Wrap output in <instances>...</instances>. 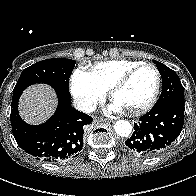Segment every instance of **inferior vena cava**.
Segmentation results:
<instances>
[{
	"instance_id": "inferior-vena-cava-1",
	"label": "inferior vena cava",
	"mask_w": 196,
	"mask_h": 196,
	"mask_svg": "<svg viewBox=\"0 0 196 196\" xmlns=\"http://www.w3.org/2000/svg\"><path fill=\"white\" fill-rule=\"evenodd\" d=\"M73 105L77 110L85 113H91L96 110V105L88 100L76 99Z\"/></svg>"
}]
</instances>
